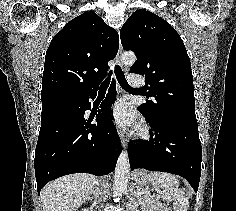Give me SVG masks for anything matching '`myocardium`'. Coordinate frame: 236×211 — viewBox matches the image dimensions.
Masks as SVG:
<instances>
[{
  "mask_svg": "<svg viewBox=\"0 0 236 211\" xmlns=\"http://www.w3.org/2000/svg\"><path fill=\"white\" fill-rule=\"evenodd\" d=\"M135 136L139 139H148L149 138V128L146 124L141 125L137 128Z\"/></svg>",
  "mask_w": 236,
  "mask_h": 211,
  "instance_id": "obj_1",
  "label": "myocardium"
}]
</instances>
